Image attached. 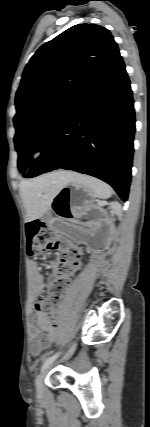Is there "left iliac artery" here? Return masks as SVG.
<instances>
[{
  "label": "left iliac artery",
  "instance_id": "obj_1",
  "mask_svg": "<svg viewBox=\"0 0 150 427\" xmlns=\"http://www.w3.org/2000/svg\"><path fill=\"white\" fill-rule=\"evenodd\" d=\"M58 355L59 353H56L47 358L42 365L41 371H44L58 357Z\"/></svg>",
  "mask_w": 150,
  "mask_h": 427
}]
</instances>
